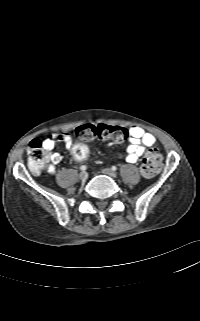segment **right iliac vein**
Masks as SVG:
<instances>
[{"label": "right iliac vein", "instance_id": "obj_1", "mask_svg": "<svg viewBox=\"0 0 200 321\" xmlns=\"http://www.w3.org/2000/svg\"><path fill=\"white\" fill-rule=\"evenodd\" d=\"M79 178H80L82 181H85V180L88 178V173L85 172V171L80 172Z\"/></svg>", "mask_w": 200, "mask_h": 321}]
</instances>
